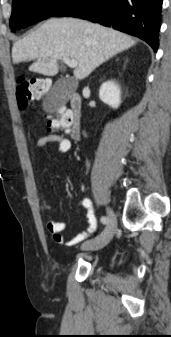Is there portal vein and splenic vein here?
<instances>
[{"mask_svg": "<svg viewBox=\"0 0 171 337\" xmlns=\"http://www.w3.org/2000/svg\"><path fill=\"white\" fill-rule=\"evenodd\" d=\"M63 62L68 65L70 68H76L78 65V62L74 59H70L68 57L63 58Z\"/></svg>", "mask_w": 171, "mask_h": 337, "instance_id": "1", "label": "portal vein and splenic vein"}]
</instances>
